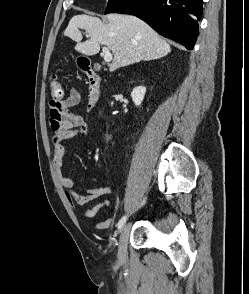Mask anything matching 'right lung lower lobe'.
<instances>
[{
    "label": "right lung lower lobe",
    "instance_id": "right-lung-lower-lobe-1",
    "mask_svg": "<svg viewBox=\"0 0 249 294\" xmlns=\"http://www.w3.org/2000/svg\"><path fill=\"white\" fill-rule=\"evenodd\" d=\"M203 0H128L117 13L139 17L164 37L193 49Z\"/></svg>",
    "mask_w": 249,
    "mask_h": 294
}]
</instances>
